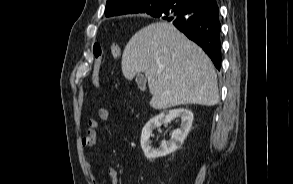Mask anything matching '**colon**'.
I'll list each match as a JSON object with an SVG mask.
<instances>
[{
	"label": "colon",
	"instance_id": "5ec220e1",
	"mask_svg": "<svg viewBox=\"0 0 293 184\" xmlns=\"http://www.w3.org/2000/svg\"><path fill=\"white\" fill-rule=\"evenodd\" d=\"M110 53L114 58L121 56V48L116 43H111L109 47ZM93 52V71H92V85L95 89L100 85V73L102 67L103 47L100 43H94L92 47Z\"/></svg>",
	"mask_w": 293,
	"mask_h": 184
}]
</instances>
